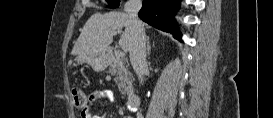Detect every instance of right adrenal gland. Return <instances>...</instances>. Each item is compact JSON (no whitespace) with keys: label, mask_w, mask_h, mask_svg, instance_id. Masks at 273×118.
I'll return each instance as SVG.
<instances>
[{"label":"right adrenal gland","mask_w":273,"mask_h":118,"mask_svg":"<svg viewBox=\"0 0 273 118\" xmlns=\"http://www.w3.org/2000/svg\"><path fill=\"white\" fill-rule=\"evenodd\" d=\"M150 53H151L150 40H149V36H147V56H149Z\"/></svg>","instance_id":"2a0ac1e0"}]
</instances>
